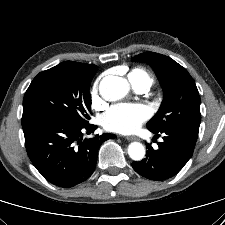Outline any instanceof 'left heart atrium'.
I'll use <instances>...</instances> for the list:
<instances>
[{
  "instance_id": "1",
  "label": "left heart atrium",
  "mask_w": 225,
  "mask_h": 225,
  "mask_svg": "<svg viewBox=\"0 0 225 225\" xmlns=\"http://www.w3.org/2000/svg\"><path fill=\"white\" fill-rule=\"evenodd\" d=\"M150 114V109L143 104H118L102 116V125L108 131L129 134L136 131Z\"/></svg>"
}]
</instances>
